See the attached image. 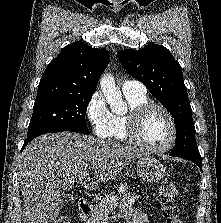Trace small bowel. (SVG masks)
Wrapping results in <instances>:
<instances>
[{
  "label": "small bowel",
  "mask_w": 221,
  "mask_h": 223,
  "mask_svg": "<svg viewBox=\"0 0 221 223\" xmlns=\"http://www.w3.org/2000/svg\"><path fill=\"white\" fill-rule=\"evenodd\" d=\"M123 218L127 223H149L147 216L136 209L124 211Z\"/></svg>",
  "instance_id": "1"
}]
</instances>
